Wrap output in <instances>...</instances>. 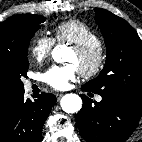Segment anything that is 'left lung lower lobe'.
<instances>
[{
    "label": "left lung lower lobe",
    "mask_w": 142,
    "mask_h": 142,
    "mask_svg": "<svg viewBox=\"0 0 142 142\" xmlns=\"http://www.w3.org/2000/svg\"><path fill=\"white\" fill-rule=\"evenodd\" d=\"M83 91H87L82 87ZM82 109L76 116L81 136L87 142H124L137 127L142 104L102 96L100 103L80 95Z\"/></svg>",
    "instance_id": "0a47b994"
}]
</instances>
